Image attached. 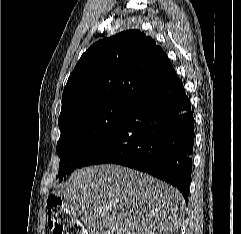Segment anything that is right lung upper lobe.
Segmentation results:
<instances>
[{
	"instance_id": "cb5924a9",
	"label": "right lung upper lobe",
	"mask_w": 241,
	"mask_h": 234,
	"mask_svg": "<svg viewBox=\"0 0 241 234\" xmlns=\"http://www.w3.org/2000/svg\"><path fill=\"white\" fill-rule=\"evenodd\" d=\"M173 70L162 48L140 30L100 40L81 56L70 74L58 123L85 107L108 102L133 104Z\"/></svg>"
}]
</instances>
